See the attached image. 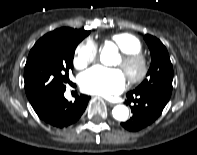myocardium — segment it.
Returning <instances> with one entry per match:
<instances>
[{
	"label": "myocardium",
	"mask_w": 197,
	"mask_h": 155,
	"mask_svg": "<svg viewBox=\"0 0 197 155\" xmlns=\"http://www.w3.org/2000/svg\"><path fill=\"white\" fill-rule=\"evenodd\" d=\"M122 70L124 71L129 83L139 84L145 80L149 72L147 58L141 52H122ZM131 68H135L131 72Z\"/></svg>",
	"instance_id": "obj_1"
}]
</instances>
